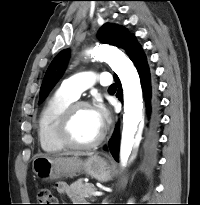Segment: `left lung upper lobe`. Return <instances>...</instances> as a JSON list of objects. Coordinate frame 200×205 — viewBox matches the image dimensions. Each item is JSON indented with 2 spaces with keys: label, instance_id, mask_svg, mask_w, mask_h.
<instances>
[{
  "label": "left lung upper lobe",
  "instance_id": "1",
  "mask_svg": "<svg viewBox=\"0 0 200 205\" xmlns=\"http://www.w3.org/2000/svg\"><path fill=\"white\" fill-rule=\"evenodd\" d=\"M98 36L103 43L125 49L128 42L134 35L129 34V32L121 26L104 24L100 28ZM68 59L69 50L65 49L58 53V55L51 62L41 85L39 103L47 97L51 89L61 78L66 68Z\"/></svg>",
  "mask_w": 200,
  "mask_h": 205
}]
</instances>
